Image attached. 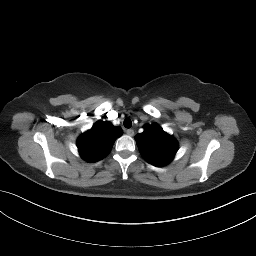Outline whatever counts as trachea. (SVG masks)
Masks as SVG:
<instances>
[{
    "label": "trachea",
    "mask_w": 256,
    "mask_h": 256,
    "mask_svg": "<svg viewBox=\"0 0 256 256\" xmlns=\"http://www.w3.org/2000/svg\"><path fill=\"white\" fill-rule=\"evenodd\" d=\"M124 126L126 127V128H131V126H132V121L129 119V118H127V119H125L124 120Z\"/></svg>",
    "instance_id": "obj_1"
}]
</instances>
